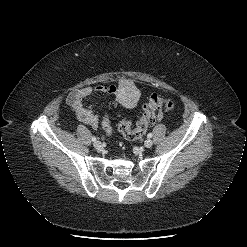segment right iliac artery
<instances>
[{
    "instance_id": "1",
    "label": "right iliac artery",
    "mask_w": 247,
    "mask_h": 247,
    "mask_svg": "<svg viewBox=\"0 0 247 247\" xmlns=\"http://www.w3.org/2000/svg\"><path fill=\"white\" fill-rule=\"evenodd\" d=\"M91 139H92V141H96V137H94V136Z\"/></svg>"
}]
</instances>
